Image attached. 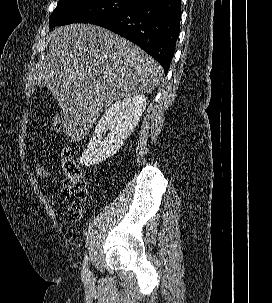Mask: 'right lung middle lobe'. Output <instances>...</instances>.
<instances>
[{
	"instance_id": "obj_1",
	"label": "right lung middle lobe",
	"mask_w": 272,
	"mask_h": 303,
	"mask_svg": "<svg viewBox=\"0 0 272 303\" xmlns=\"http://www.w3.org/2000/svg\"><path fill=\"white\" fill-rule=\"evenodd\" d=\"M135 0H59L50 28L70 23H92L135 6Z\"/></svg>"
}]
</instances>
